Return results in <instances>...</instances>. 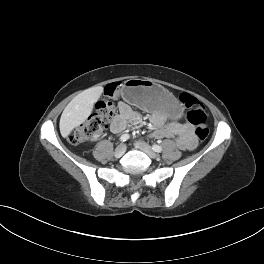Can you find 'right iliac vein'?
I'll use <instances>...</instances> for the list:
<instances>
[{
  "label": "right iliac vein",
  "instance_id": "right-iliac-vein-1",
  "mask_svg": "<svg viewBox=\"0 0 264 264\" xmlns=\"http://www.w3.org/2000/svg\"><path fill=\"white\" fill-rule=\"evenodd\" d=\"M125 151H126V145L125 144H120L115 149L114 156L116 158H119L125 153Z\"/></svg>",
  "mask_w": 264,
  "mask_h": 264
}]
</instances>
